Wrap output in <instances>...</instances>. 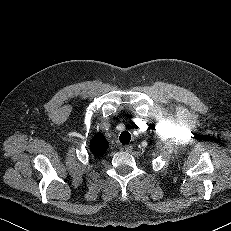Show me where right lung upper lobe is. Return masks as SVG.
Listing matches in <instances>:
<instances>
[{"label": "right lung upper lobe", "mask_w": 231, "mask_h": 231, "mask_svg": "<svg viewBox=\"0 0 231 231\" xmlns=\"http://www.w3.org/2000/svg\"><path fill=\"white\" fill-rule=\"evenodd\" d=\"M108 148V142L104 135L101 133H98L95 135V137L92 138L90 142V151L96 155L99 156L103 154Z\"/></svg>", "instance_id": "obj_1"}]
</instances>
